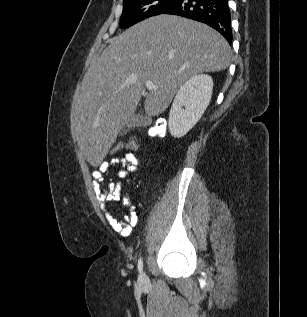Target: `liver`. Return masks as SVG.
Segmentation results:
<instances>
[{"label":"liver","instance_id":"1","mask_svg":"<svg viewBox=\"0 0 307 317\" xmlns=\"http://www.w3.org/2000/svg\"><path fill=\"white\" fill-rule=\"evenodd\" d=\"M231 57L220 33L174 15L151 17L112 38L88 68L72 103L77 140L91 165L107 155L135 112L146 81L158 88L149 90L145 112L158 116L185 81L226 69Z\"/></svg>","mask_w":307,"mask_h":317}]
</instances>
